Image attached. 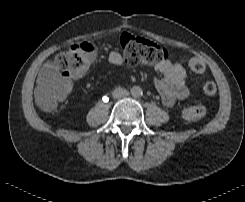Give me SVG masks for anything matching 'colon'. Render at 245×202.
Masks as SVG:
<instances>
[{
    "label": "colon",
    "instance_id": "5ec220e1",
    "mask_svg": "<svg viewBox=\"0 0 245 202\" xmlns=\"http://www.w3.org/2000/svg\"><path fill=\"white\" fill-rule=\"evenodd\" d=\"M120 44L126 61L132 65L159 63L169 56L166 47L139 36L124 34ZM97 52L96 44L86 41L76 43L67 51L57 55L55 66L61 72L62 77L37 92L36 100L39 106L50 111L66 99L68 88L65 86L64 80L85 74L97 56ZM188 66L196 74H201L205 70L204 62L196 58L188 60ZM202 90L205 95H214L217 90L216 84L213 81H206ZM206 112L207 109L203 105L187 106L182 110V117L186 121H195L203 118Z\"/></svg>",
    "mask_w": 245,
    "mask_h": 202
}]
</instances>
